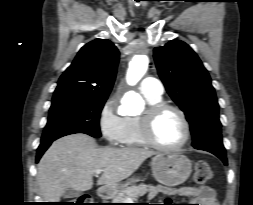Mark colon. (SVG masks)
Segmentation results:
<instances>
[{
    "mask_svg": "<svg viewBox=\"0 0 253 205\" xmlns=\"http://www.w3.org/2000/svg\"><path fill=\"white\" fill-rule=\"evenodd\" d=\"M213 178V171L210 165L205 161H198L195 164L194 179L198 184H204ZM71 205H91V198L88 195H82L71 202Z\"/></svg>",
    "mask_w": 253,
    "mask_h": 205,
    "instance_id": "1",
    "label": "colon"
}]
</instances>
